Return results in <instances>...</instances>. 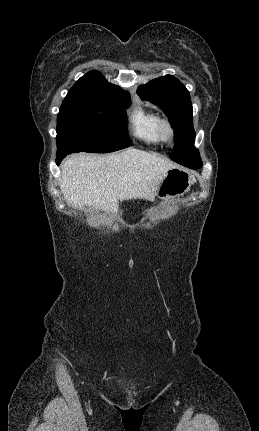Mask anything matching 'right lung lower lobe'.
<instances>
[{
	"label": "right lung lower lobe",
	"instance_id": "1",
	"mask_svg": "<svg viewBox=\"0 0 259 431\" xmlns=\"http://www.w3.org/2000/svg\"><path fill=\"white\" fill-rule=\"evenodd\" d=\"M68 155V153H57L56 163L57 165Z\"/></svg>",
	"mask_w": 259,
	"mask_h": 431
}]
</instances>
